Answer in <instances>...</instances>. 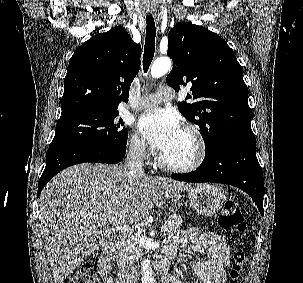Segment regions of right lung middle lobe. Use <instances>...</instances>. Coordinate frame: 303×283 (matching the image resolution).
<instances>
[{
    "label": "right lung middle lobe",
    "mask_w": 303,
    "mask_h": 283,
    "mask_svg": "<svg viewBox=\"0 0 303 283\" xmlns=\"http://www.w3.org/2000/svg\"><path fill=\"white\" fill-rule=\"evenodd\" d=\"M118 112L81 111L61 116L50 146L90 144L119 149L127 144L128 133L122 128Z\"/></svg>",
    "instance_id": "1"
}]
</instances>
